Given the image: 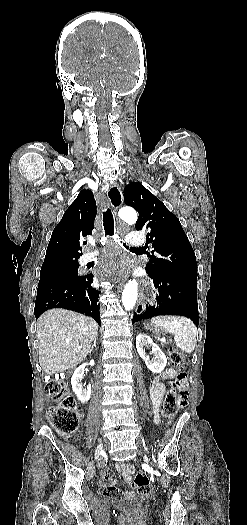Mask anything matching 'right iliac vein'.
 Returning a JSON list of instances; mask_svg holds the SVG:
<instances>
[{
	"instance_id": "1",
	"label": "right iliac vein",
	"mask_w": 247,
	"mask_h": 525,
	"mask_svg": "<svg viewBox=\"0 0 247 525\" xmlns=\"http://www.w3.org/2000/svg\"><path fill=\"white\" fill-rule=\"evenodd\" d=\"M102 449H103V444L100 443V444L97 446L96 450H95V459L99 460V457H100V454H101V452H102Z\"/></svg>"
}]
</instances>
